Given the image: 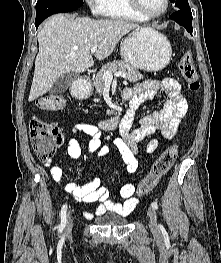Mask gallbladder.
<instances>
[{"label":"gallbladder","mask_w":221,"mask_h":263,"mask_svg":"<svg viewBox=\"0 0 221 263\" xmlns=\"http://www.w3.org/2000/svg\"><path fill=\"white\" fill-rule=\"evenodd\" d=\"M78 76L79 74L74 72L63 74L56 80L50 92L56 95L64 93L78 78Z\"/></svg>","instance_id":"1"}]
</instances>
